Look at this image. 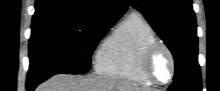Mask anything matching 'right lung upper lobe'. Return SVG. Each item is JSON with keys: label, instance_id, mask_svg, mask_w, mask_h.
Returning a JSON list of instances; mask_svg holds the SVG:
<instances>
[{"label": "right lung upper lobe", "instance_id": "1", "mask_svg": "<svg viewBox=\"0 0 220 91\" xmlns=\"http://www.w3.org/2000/svg\"><path fill=\"white\" fill-rule=\"evenodd\" d=\"M127 7V0H36L32 25L50 21L114 25Z\"/></svg>", "mask_w": 220, "mask_h": 91}]
</instances>
